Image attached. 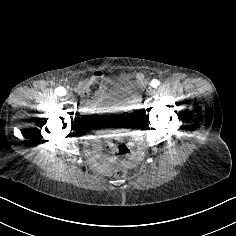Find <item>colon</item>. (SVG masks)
Here are the masks:
<instances>
[{
	"instance_id": "5ec220e1",
	"label": "colon",
	"mask_w": 236,
	"mask_h": 236,
	"mask_svg": "<svg viewBox=\"0 0 236 236\" xmlns=\"http://www.w3.org/2000/svg\"><path fill=\"white\" fill-rule=\"evenodd\" d=\"M127 175V170L123 167H119L115 170V176L117 178H124Z\"/></svg>"
}]
</instances>
